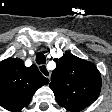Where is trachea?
Wrapping results in <instances>:
<instances>
[{
  "mask_svg": "<svg viewBox=\"0 0 112 112\" xmlns=\"http://www.w3.org/2000/svg\"><path fill=\"white\" fill-rule=\"evenodd\" d=\"M36 62H37V64H44V63H46L45 56L42 53L37 54Z\"/></svg>",
  "mask_w": 112,
  "mask_h": 112,
  "instance_id": "3493384b",
  "label": "trachea"
}]
</instances>
